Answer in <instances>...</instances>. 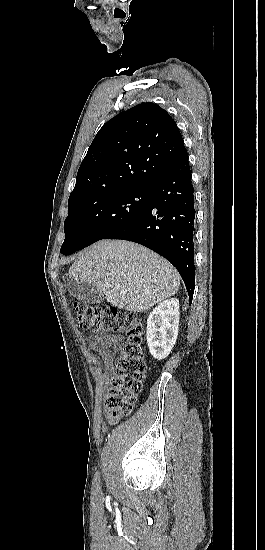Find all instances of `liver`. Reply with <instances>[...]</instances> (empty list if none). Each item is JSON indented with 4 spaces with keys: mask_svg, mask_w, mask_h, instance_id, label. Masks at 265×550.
Masks as SVG:
<instances>
[{
    "mask_svg": "<svg viewBox=\"0 0 265 550\" xmlns=\"http://www.w3.org/2000/svg\"><path fill=\"white\" fill-rule=\"evenodd\" d=\"M68 277L91 284L111 305L130 312L147 311L180 288V275L166 259L124 240H101L82 250Z\"/></svg>",
    "mask_w": 265,
    "mask_h": 550,
    "instance_id": "obj_1",
    "label": "liver"
}]
</instances>
